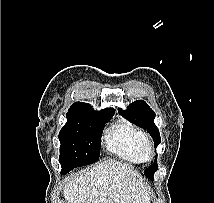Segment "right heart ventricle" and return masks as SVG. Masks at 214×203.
<instances>
[{
    "label": "right heart ventricle",
    "mask_w": 214,
    "mask_h": 203,
    "mask_svg": "<svg viewBox=\"0 0 214 203\" xmlns=\"http://www.w3.org/2000/svg\"><path fill=\"white\" fill-rule=\"evenodd\" d=\"M105 145L109 152L121 159L139 164L145 161L142 148L145 133L127 120L115 122L105 134Z\"/></svg>",
    "instance_id": "e07e8e85"
}]
</instances>
